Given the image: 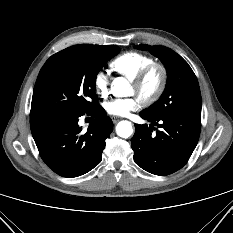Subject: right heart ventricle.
I'll use <instances>...</instances> for the list:
<instances>
[{"label": "right heart ventricle", "mask_w": 233, "mask_h": 233, "mask_svg": "<svg viewBox=\"0 0 233 233\" xmlns=\"http://www.w3.org/2000/svg\"><path fill=\"white\" fill-rule=\"evenodd\" d=\"M154 60L151 56L140 52H126L117 56L110 67L115 73L132 79L141 69Z\"/></svg>", "instance_id": "obj_1"}]
</instances>
